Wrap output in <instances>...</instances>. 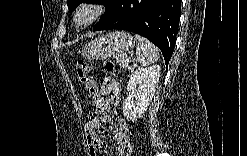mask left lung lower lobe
<instances>
[{"instance_id":"obj_1","label":"left lung lower lobe","mask_w":247,"mask_h":156,"mask_svg":"<svg viewBox=\"0 0 247 156\" xmlns=\"http://www.w3.org/2000/svg\"><path fill=\"white\" fill-rule=\"evenodd\" d=\"M180 15L181 0H117L93 31L120 29L142 35L159 47L168 65Z\"/></svg>"}]
</instances>
